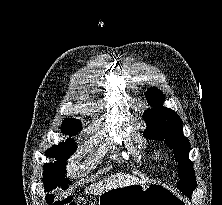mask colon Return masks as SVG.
<instances>
[{
    "instance_id": "1",
    "label": "colon",
    "mask_w": 222,
    "mask_h": 205,
    "mask_svg": "<svg viewBox=\"0 0 222 205\" xmlns=\"http://www.w3.org/2000/svg\"><path fill=\"white\" fill-rule=\"evenodd\" d=\"M46 205H76L69 199H59L54 194L49 193L46 195Z\"/></svg>"
}]
</instances>
